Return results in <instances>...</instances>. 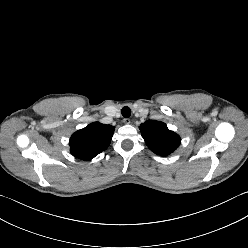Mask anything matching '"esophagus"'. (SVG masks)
<instances>
[{
	"label": "esophagus",
	"mask_w": 248,
	"mask_h": 248,
	"mask_svg": "<svg viewBox=\"0 0 248 248\" xmlns=\"http://www.w3.org/2000/svg\"><path fill=\"white\" fill-rule=\"evenodd\" d=\"M123 123L129 125L131 123V120L129 118H124Z\"/></svg>",
	"instance_id": "34e87169"
}]
</instances>
